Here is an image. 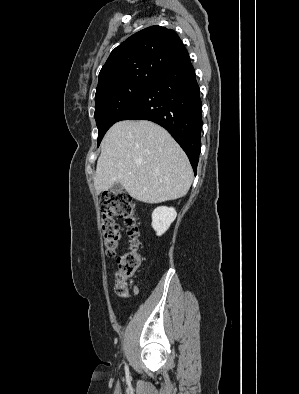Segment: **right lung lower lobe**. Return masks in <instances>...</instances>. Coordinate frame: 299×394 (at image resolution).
<instances>
[{
	"label": "right lung lower lobe",
	"mask_w": 299,
	"mask_h": 394,
	"mask_svg": "<svg viewBox=\"0 0 299 394\" xmlns=\"http://www.w3.org/2000/svg\"><path fill=\"white\" fill-rule=\"evenodd\" d=\"M202 103L195 70L187 57L156 78L120 117L164 127L187 154L196 173L201 149Z\"/></svg>",
	"instance_id": "right-lung-lower-lobe-1"
}]
</instances>
